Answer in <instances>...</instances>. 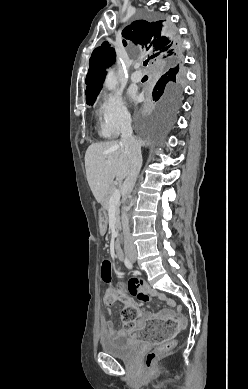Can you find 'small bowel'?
Instances as JSON below:
<instances>
[{
	"instance_id": "c3829d8e",
	"label": "small bowel",
	"mask_w": 248,
	"mask_h": 389,
	"mask_svg": "<svg viewBox=\"0 0 248 389\" xmlns=\"http://www.w3.org/2000/svg\"><path fill=\"white\" fill-rule=\"evenodd\" d=\"M129 281H130V283L127 286V291L132 297H135L139 303H144L151 298H157L160 301L165 302L169 307L176 308L177 314H179V315L181 314V311H182L181 306L176 307L174 300L167 298L165 294L158 292V291L150 288L147 284H145L143 279L141 278L140 273H136L135 277L131 276L129 278ZM111 288H114V287H111ZM114 289H116V288H114ZM115 301H113L110 304H106V305L110 306ZM108 312H111L110 308H108ZM175 314L176 313L171 311V310L164 311L158 315L147 314V315L142 316L136 322L135 327L139 328V326H142L144 322H146L147 320L152 319V318H157V317L158 318H170V317H174ZM132 331L133 330H131V331H126V330L116 331L115 327H114L113 320H107V321L101 322V336L118 333L121 336L127 337L129 333H132Z\"/></svg>"
}]
</instances>
